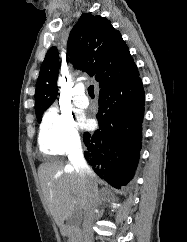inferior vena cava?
Returning a JSON list of instances; mask_svg holds the SVG:
<instances>
[{
    "instance_id": "inferior-vena-cava-1",
    "label": "inferior vena cava",
    "mask_w": 187,
    "mask_h": 242,
    "mask_svg": "<svg viewBox=\"0 0 187 242\" xmlns=\"http://www.w3.org/2000/svg\"><path fill=\"white\" fill-rule=\"evenodd\" d=\"M68 159L80 177L90 180L88 197L84 207V221L82 225V242H93V222L99 194L97 183L93 180L94 173L86 163L80 141L72 143Z\"/></svg>"
}]
</instances>
